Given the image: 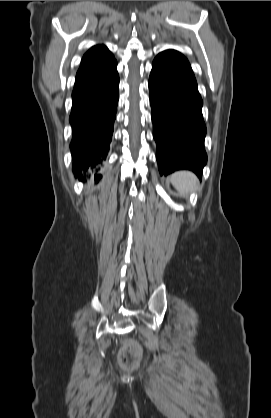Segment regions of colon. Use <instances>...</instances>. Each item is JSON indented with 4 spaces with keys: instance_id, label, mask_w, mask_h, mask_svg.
Returning a JSON list of instances; mask_svg holds the SVG:
<instances>
[{
    "instance_id": "5ec220e1",
    "label": "colon",
    "mask_w": 271,
    "mask_h": 418,
    "mask_svg": "<svg viewBox=\"0 0 271 418\" xmlns=\"http://www.w3.org/2000/svg\"><path fill=\"white\" fill-rule=\"evenodd\" d=\"M120 362L125 367H132L137 364L140 358V348L136 343H128L120 353Z\"/></svg>"
}]
</instances>
